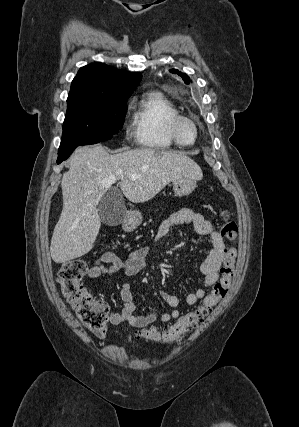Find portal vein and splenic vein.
Listing matches in <instances>:
<instances>
[{
    "mask_svg": "<svg viewBox=\"0 0 299 427\" xmlns=\"http://www.w3.org/2000/svg\"><path fill=\"white\" fill-rule=\"evenodd\" d=\"M120 174H121V173H118V175H120ZM127 176H128V178H130V179H132V180H135V179H137V178H138V176H137V175H134V174H128ZM115 181H116V179H115V178H108V179L104 180V181L102 182V184H103V185H105V186H111L113 183H115Z\"/></svg>",
    "mask_w": 299,
    "mask_h": 427,
    "instance_id": "1",
    "label": "portal vein and splenic vein"
}]
</instances>
